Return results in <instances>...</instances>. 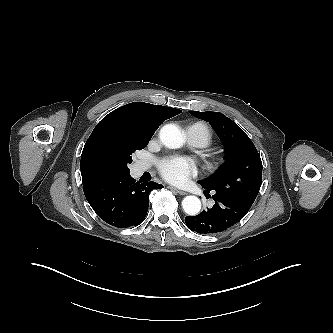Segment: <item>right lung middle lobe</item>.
Segmentation results:
<instances>
[{"label":"right lung middle lobe","mask_w":333,"mask_h":333,"mask_svg":"<svg viewBox=\"0 0 333 333\" xmlns=\"http://www.w3.org/2000/svg\"><path fill=\"white\" fill-rule=\"evenodd\" d=\"M151 137L138 136L120 128L101 130L92 147V156L106 175L129 174L132 154L144 149Z\"/></svg>","instance_id":"dd1d6c3e"}]
</instances>
